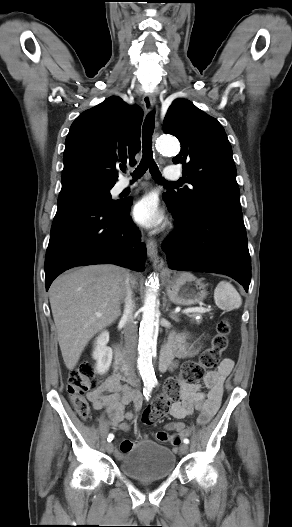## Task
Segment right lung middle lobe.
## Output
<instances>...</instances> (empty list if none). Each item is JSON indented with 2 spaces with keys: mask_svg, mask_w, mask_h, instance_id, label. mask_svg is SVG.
Returning <instances> with one entry per match:
<instances>
[{
  "mask_svg": "<svg viewBox=\"0 0 292 527\" xmlns=\"http://www.w3.org/2000/svg\"><path fill=\"white\" fill-rule=\"evenodd\" d=\"M113 184H104L90 178H74L62 182L59 197L76 195L90 197L105 205H116L120 201L111 198L110 189Z\"/></svg>",
  "mask_w": 292,
  "mask_h": 527,
  "instance_id": "right-lung-middle-lobe-1",
  "label": "right lung middle lobe"
}]
</instances>
